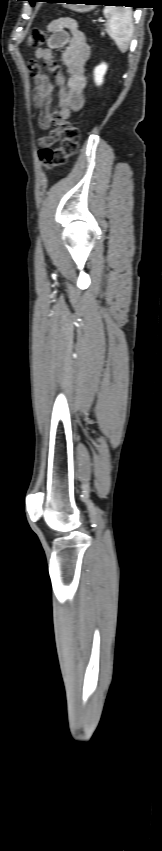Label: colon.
<instances>
[{
    "label": "colon",
    "mask_w": 162,
    "mask_h": 851,
    "mask_svg": "<svg viewBox=\"0 0 162 851\" xmlns=\"http://www.w3.org/2000/svg\"><path fill=\"white\" fill-rule=\"evenodd\" d=\"M47 39V32L40 28H34L28 36V46L31 48L40 47ZM56 132L60 135V144L56 148L43 147L39 150V158L46 169L63 165L68 158L74 155L78 148L80 132L74 123L60 124Z\"/></svg>",
    "instance_id": "obj_1"
}]
</instances>
